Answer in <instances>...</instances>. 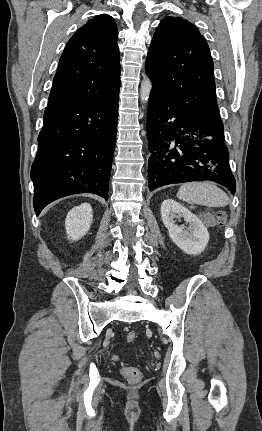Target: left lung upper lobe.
<instances>
[{"label": "left lung upper lobe", "mask_w": 262, "mask_h": 431, "mask_svg": "<svg viewBox=\"0 0 262 431\" xmlns=\"http://www.w3.org/2000/svg\"><path fill=\"white\" fill-rule=\"evenodd\" d=\"M145 70L153 88L198 123L214 128L223 125L216 102L210 50L189 21L172 16L161 21L148 51Z\"/></svg>", "instance_id": "obj_1"}]
</instances>
